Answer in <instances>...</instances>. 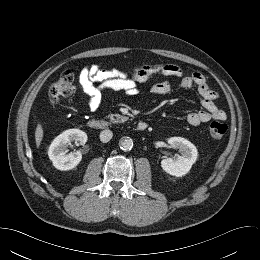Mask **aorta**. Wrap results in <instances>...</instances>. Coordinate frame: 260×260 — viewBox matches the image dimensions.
Masks as SVG:
<instances>
[{
  "instance_id": "762f6f07",
  "label": "aorta",
  "mask_w": 260,
  "mask_h": 260,
  "mask_svg": "<svg viewBox=\"0 0 260 260\" xmlns=\"http://www.w3.org/2000/svg\"><path fill=\"white\" fill-rule=\"evenodd\" d=\"M119 146L124 151H130L133 148V140L129 137H124L119 141Z\"/></svg>"
}]
</instances>
